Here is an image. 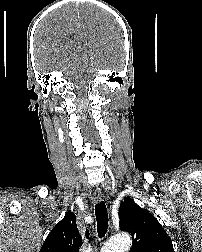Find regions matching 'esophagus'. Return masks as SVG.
<instances>
[{
  "mask_svg": "<svg viewBox=\"0 0 202 252\" xmlns=\"http://www.w3.org/2000/svg\"><path fill=\"white\" fill-rule=\"evenodd\" d=\"M93 199L95 202H100L103 200V193L100 188H96V190L93 194Z\"/></svg>",
  "mask_w": 202,
  "mask_h": 252,
  "instance_id": "34e87169",
  "label": "esophagus"
}]
</instances>
